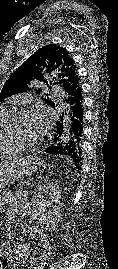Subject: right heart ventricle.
Returning <instances> with one entry per match:
<instances>
[{"label": "right heart ventricle", "instance_id": "obj_1", "mask_svg": "<svg viewBox=\"0 0 118 269\" xmlns=\"http://www.w3.org/2000/svg\"><path fill=\"white\" fill-rule=\"evenodd\" d=\"M9 114L10 111L7 108L0 107V157L14 155L21 151V148L7 144L2 138V125Z\"/></svg>", "mask_w": 118, "mask_h": 269}]
</instances>
